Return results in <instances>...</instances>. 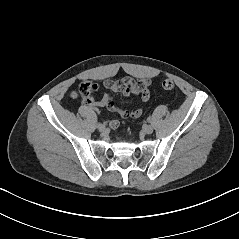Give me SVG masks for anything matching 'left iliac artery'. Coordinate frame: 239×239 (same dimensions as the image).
Segmentation results:
<instances>
[{
    "mask_svg": "<svg viewBox=\"0 0 239 239\" xmlns=\"http://www.w3.org/2000/svg\"><path fill=\"white\" fill-rule=\"evenodd\" d=\"M147 121H148V122H151V118H150V117H148V118H147Z\"/></svg>",
    "mask_w": 239,
    "mask_h": 239,
    "instance_id": "1",
    "label": "left iliac artery"
}]
</instances>
